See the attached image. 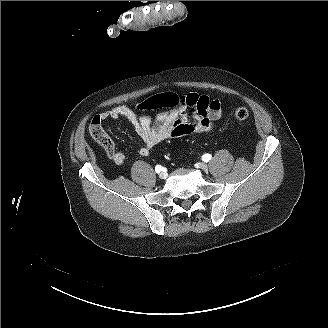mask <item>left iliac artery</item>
Masks as SVG:
<instances>
[{"label": "left iliac artery", "mask_w": 328, "mask_h": 328, "mask_svg": "<svg viewBox=\"0 0 328 328\" xmlns=\"http://www.w3.org/2000/svg\"><path fill=\"white\" fill-rule=\"evenodd\" d=\"M211 158H212V156H211L210 154H204V155L202 156V159H203V161H205V162H208Z\"/></svg>", "instance_id": "1"}]
</instances>
